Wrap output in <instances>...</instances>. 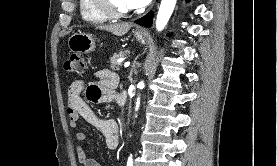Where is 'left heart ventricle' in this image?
I'll use <instances>...</instances> for the list:
<instances>
[{
	"instance_id": "1",
	"label": "left heart ventricle",
	"mask_w": 277,
	"mask_h": 166,
	"mask_svg": "<svg viewBox=\"0 0 277 166\" xmlns=\"http://www.w3.org/2000/svg\"><path fill=\"white\" fill-rule=\"evenodd\" d=\"M113 4V6L120 10V11H126L129 10V6L126 3V0H110Z\"/></svg>"
}]
</instances>
